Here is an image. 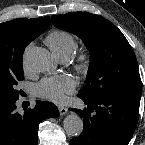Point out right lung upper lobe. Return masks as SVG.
<instances>
[{"label":"right lung upper lobe","instance_id":"1","mask_svg":"<svg viewBox=\"0 0 145 145\" xmlns=\"http://www.w3.org/2000/svg\"><path fill=\"white\" fill-rule=\"evenodd\" d=\"M50 21L46 16L0 23V71L22 63L26 46L46 30Z\"/></svg>","mask_w":145,"mask_h":145}]
</instances>
